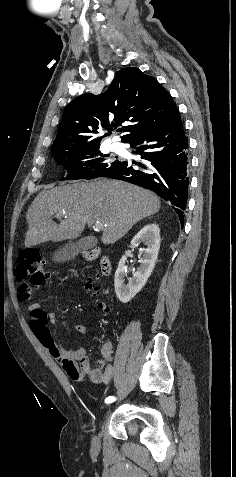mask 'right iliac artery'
<instances>
[{
	"mask_svg": "<svg viewBox=\"0 0 236 477\" xmlns=\"http://www.w3.org/2000/svg\"><path fill=\"white\" fill-rule=\"evenodd\" d=\"M116 398L114 396H109L105 399V403L112 405L115 403Z\"/></svg>",
	"mask_w": 236,
	"mask_h": 477,
	"instance_id": "82829eb1",
	"label": "right iliac artery"
}]
</instances>
